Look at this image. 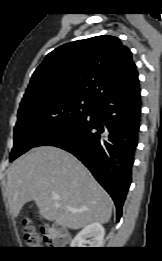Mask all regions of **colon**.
Listing matches in <instances>:
<instances>
[{
	"instance_id": "colon-1",
	"label": "colon",
	"mask_w": 162,
	"mask_h": 261,
	"mask_svg": "<svg viewBox=\"0 0 162 261\" xmlns=\"http://www.w3.org/2000/svg\"><path fill=\"white\" fill-rule=\"evenodd\" d=\"M24 224V240L29 247H40L41 243H44L47 246L59 249L67 243L61 230L53 225L42 228L38 232L29 224L28 220H25Z\"/></svg>"
}]
</instances>
